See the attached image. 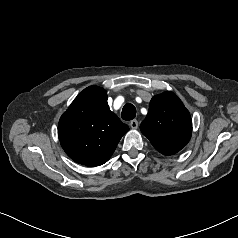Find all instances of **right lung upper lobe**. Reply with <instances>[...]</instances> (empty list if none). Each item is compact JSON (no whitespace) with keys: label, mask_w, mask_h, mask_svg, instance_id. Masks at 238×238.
<instances>
[{"label":"right lung upper lobe","mask_w":238,"mask_h":238,"mask_svg":"<svg viewBox=\"0 0 238 238\" xmlns=\"http://www.w3.org/2000/svg\"><path fill=\"white\" fill-rule=\"evenodd\" d=\"M128 130L109 109L107 92L98 86L84 89L58 124L59 140L66 154L87 166L107 162Z\"/></svg>","instance_id":"obj_1"}]
</instances>
